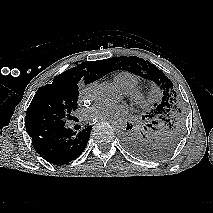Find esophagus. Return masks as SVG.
<instances>
[{"label":"esophagus","mask_w":213,"mask_h":213,"mask_svg":"<svg viewBox=\"0 0 213 213\" xmlns=\"http://www.w3.org/2000/svg\"><path fill=\"white\" fill-rule=\"evenodd\" d=\"M101 120H113V117H108V118H104V119H99V121H101Z\"/></svg>","instance_id":"1"}]
</instances>
